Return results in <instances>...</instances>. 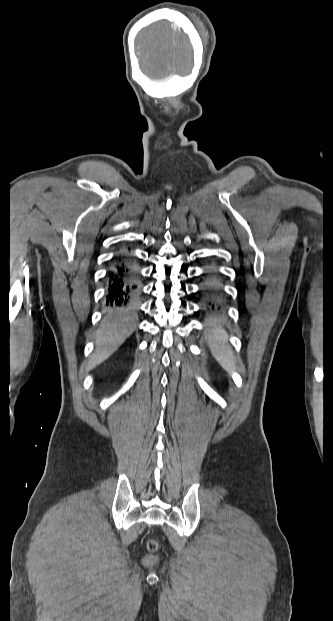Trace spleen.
<instances>
[{"label":"spleen","mask_w":333,"mask_h":621,"mask_svg":"<svg viewBox=\"0 0 333 621\" xmlns=\"http://www.w3.org/2000/svg\"><path fill=\"white\" fill-rule=\"evenodd\" d=\"M210 350L217 362L228 372L236 370L235 356L228 344V336L221 326L214 324L213 328L205 334Z\"/></svg>","instance_id":"3e777b00"}]
</instances>
